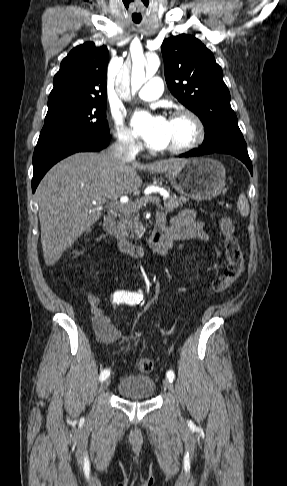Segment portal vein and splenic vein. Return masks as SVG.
Here are the masks:
<instances>
[{
	"label": "portal vein and splenic vein",
	"instance_id": "18ae733b",
	"mask_svg": "<svg viewBox=\"0 0 287 486\" xmlns=\"http://www.w3.org/2000/svg\"><path fill=\"white\" fill-rule=\"evenodd\" d=\"M105 202H106V200H102V203H105ZM127 202H128V198L122 197L120 199V202H117V201L111 202V203H109V206L111 208L115 209V210L120 211L123 208V206L125 205V203H127ZM160 202H161V200H160L159 197L150 196V197H146L144 200H141L139 202V205L142 206L143 204H146V203H155V204L158 205V204H160ZM93 204H96V201H93Z\"/></svg>",
	"mask_w": 287,
	"mask_h": 486
}]
</instances>
